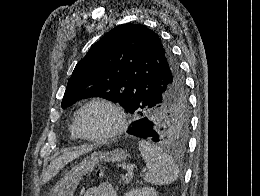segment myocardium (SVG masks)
Listing matches in <instances>:
<instances>
[{"label":"myocardium","mask_w":260,"mask_h":196,"mask_svg":"<svg viewBox=\"0 0 260 196\" xmlns=\"http://www.w3.org/2000/svg\"><path fill=\"white\" fill-rule=\"evenodd\" d=\"M96 103L105 104L108 107H110L115 112L118 121H117L116 126L109 132H107L103 135H99V136H88V135L84 134V132L80 128L79 119H80L82 112L87 107H89L92 104H96ZM127 123H128L127 115H126V112L124 111V109L122 108V106L118 102H116L108 97H104V96L93 97L90 100H88L87 102H85L75 112L74 119H73V126H74L75 130L77 131L80 139H83L85 141L92 142V143H103V142H106V141L116 137L117 135L121 134L126 129Z\"/></svg>","instance_id":"obj_1"}]
</instances>
